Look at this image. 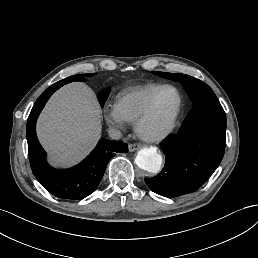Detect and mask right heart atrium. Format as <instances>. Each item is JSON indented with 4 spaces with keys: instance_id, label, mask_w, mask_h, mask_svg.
Segmentation results:
<instances>
[{
    "instance_id": "d8ad5b80",
    "label": "right heart atrium",
    "mask_w": 258,
    "mask_h": 258,
    "mask_svg": "<svg viewBox=\"0 0 258 258\" xmlns=\"http://www.w3.org/2000/svg\"><path fill=\"white\" fill-rule=\"evenodd\" d=\"M104 117L106 122L112 126L124 127L126 124V120L124 119L116 105L109 106L104 112Z\"/></svg>"
}]
</instances>
